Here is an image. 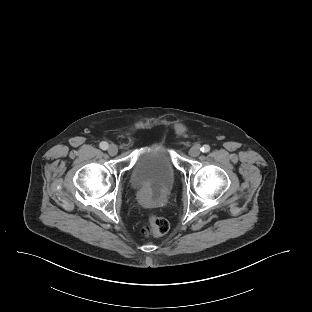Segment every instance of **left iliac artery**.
<instances>
[{"instance_id": "left-iliac-artery-1", "label": "left iliac artery", "mask_w": 312, "mask_h": 312, "mask_svg": "<svg viewBox=\"0 0 312 312\" xmlns=\"http://www.w3.org/2000/svg\"><path fill=\"white\" fill-rule=\"evenodd\" d=\"M201 151L203 153H207L210 151V146L209 145H203L202 148H201Z\"/></svg>"}]
</instances>
